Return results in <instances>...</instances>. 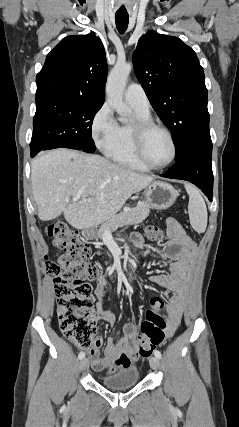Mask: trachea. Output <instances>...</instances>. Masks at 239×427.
Instances as JSON below:
<instances>
[{"instance_id": "3493384b", "label": "trachea", "mask_w": 239, "mask_h": 427, "mask_svg": "<svg viewBox=\"0 0 239 427\" xmlns=\"http://www.w3.org/2000/svg\"><path fill=\"white\" fill-rule=\"evenodd\" d=\"M116 20V27L120 34H123L127 27L129 22V16L128 15H115Z\"/></svg>"}]
</instances>
